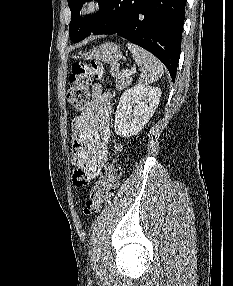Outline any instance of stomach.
Segmentation results:
<instances>
[{"instance_id": "1", "label": "stomach", "mask_w": 233, "mask_h": 286, "mask_svg": "<svg viewBox=\"0 0 233 286\" xmlns=\"http://www.w3.org/2000/svg\"><path fill=\"white\" fill-rule=\"evenodd\" d=\"M78 58L102 61L104 63H109L114 69H117L118 61L122 58V53L118 45L114 43H105L89 52H80Z\"/></svg>"}]
</instances>
